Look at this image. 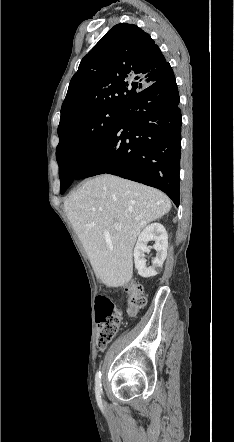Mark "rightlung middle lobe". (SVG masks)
Listing matches in <instances>:
<instances>
[{
  "label": "right lung middle lobe",
  "instance_id": "1",
  "mask_svg": "<svg viewBox=\"0 0 234 442\" xmlns=\"http://www.w3.org/2000/svg\"><path fill=\"white\" fill-rule=\"evenodd\" d=\"M121 107L104 108L92 112L77 121L59 136L56 159L59 165L61 194L74 179V168L96 148L110 133Z\"/></svg>",
  "mask_w": 234,
  "mask_h": 442
}]
</instances>
